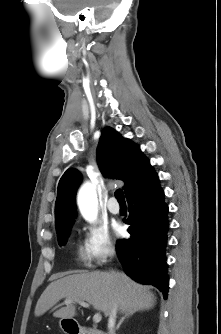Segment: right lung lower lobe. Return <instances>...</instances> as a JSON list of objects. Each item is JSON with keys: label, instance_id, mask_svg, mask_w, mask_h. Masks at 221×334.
<instances>
[{"label": "right lung lower lobe", "instance_id": "98d812e1", "mask_svg": "<svg viewBox=\"0 0 221 334\" xmlns=\"http://www.w3.org/2000/svg\"><path fill=\"white\" fill-rule=\"evenodd\" d=\"M131 238L118 241L116 250L123 269L134 280L157 287L167 298L168 206L155 174L145 185L127 196Z\"/></svg>", "mask_w": 221, "mask_h": 334}]
</instances>
